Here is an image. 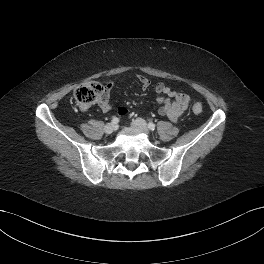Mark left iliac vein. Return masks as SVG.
Listing matches in <instances>:
<instances>
[{"instance_id":"left-iliac-vein-1","label":"left iliac vein","mask_w":264,"mask_h":264,"mask_svg":"<svg viewBox=\"0 0 264 264\" xmlns=\"http://www.w3.org/2000/svg\"><path fill=\"white\" fill-rule=\"evenodd\" d=\"M132 126L135 128L140 129L142 132H144L145 134L149 135V129L147 127V123L145 122V120L141 119V118H137L136 120H134L132 122Z\"/></svg>"}]
</instances>
